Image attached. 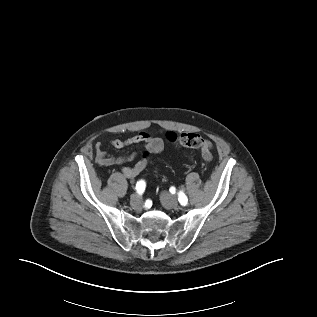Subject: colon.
<instances>
[{
    "label": "colon",
    "mask_w": 317,
    "mask_h": 317,
    "mask_svg": "<svg viewBox=\"0 0 317 317\" xmlns=\"http://www.w3.org/2000/svg\"><path fill=\"white\" fill-rule=\"evenodd\" d=\"M166 139L168 142L175 144V145H180L183 147H188V148H198L201 147L203 144V138L193 132H186V133H174V132H169L166 134ZM151 151L146 150L143 153V159L148 160L149 155Z\"/></svg>",
    "instance_id": "1"
}]
</instances>
